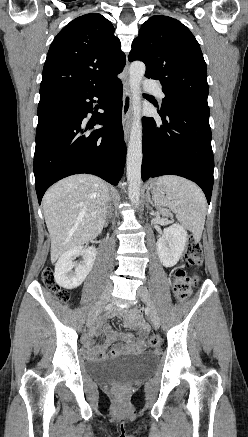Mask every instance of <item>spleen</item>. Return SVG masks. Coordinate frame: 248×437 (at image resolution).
I'll return each instance as SVG.
<instances>
[{"label": "spleen", "mask_w": 248, "mask_h": 437, "mask_svg": "<svg viewBox=\"0 0 248 437\" xmlns=\"http://www.w3.org/2000/svg\"><path fill=\"white\" fill-rule=\"evenodd\" d=\"M157 184L164 187L166 196L157 195L155 202L169 206L182 226L191 231L194 239L199 241L207 205L202 190L195 183L173 175L159 177Z\"/></svg>", "instance_id": "1"}]
</instances>
